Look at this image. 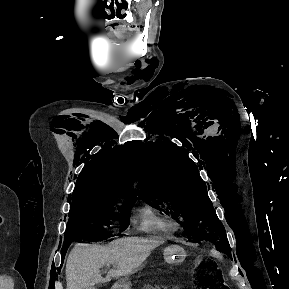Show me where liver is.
Instances as JSON below:
<instances>
[{
    "instance_id": "liver-1",
    "label": "liver",
    "mask_w": 289,
    "mask_h": 289,
    "mask_svg": "<svg viewBox=\"0 0 289 289\" xmlns=\"http://www.w3.org/2000/svg\"><path fill=\"white\" fill-rule=\"evenodd\" d=\"M158 239L120 238L108 246L77 244L66 263V289H95L98 283L128 276L142 265L151 251L162 244ZM115 265L106 278L100 273L105 265Z\"/></svg>"
}]
</instances>
